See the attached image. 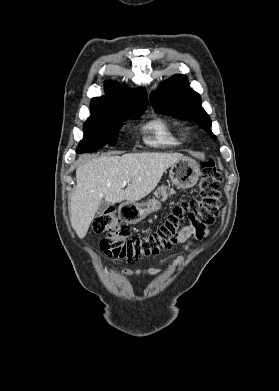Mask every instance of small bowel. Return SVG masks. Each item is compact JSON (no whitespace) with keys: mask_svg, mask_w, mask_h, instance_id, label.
<instances>
[{"mask_svg":"<svg viewBox=\"0 0 279 391\" xmlns=\"http://www.w3.org/2000/svg\"><path fill=\"white\" fill-rule=\"evenodd\" d=\"M194 228L191 225L184 226L181 230L178 238V243L183 246L184 249H189V247L192 245L191 237L194 235ZM183 261V257L179 256L175 262L173 263V267L179 265ZM159 272V269L157 268H148V269H142V270H124L121 275L123 277H135L139 275H153Z\"/></svg>","mask_w":279,"mask_h":391,"instance_id":"1","label":"small bowel"}]
</instances>
